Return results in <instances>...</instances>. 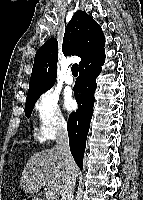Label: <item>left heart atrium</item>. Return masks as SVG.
Masks as SVG:
<instances>
[{
    "mask_svg": "<svg viewBox=\"0 0 143 200\" xmlns=\"http://www.w3.org/2000/svg\"><path fill=\"white\" fill-rule=\"evenodd\" d=\"M64 106L67 111H71L75 108L76 102L72 97L71 93L65 95Z\"/></svg>",
    "mask_w": 143,
    "mask_h": 200,
    "instance_id": "left-heart-atrium-1",
    "label": "left heart atrium"
}]
</instances>
